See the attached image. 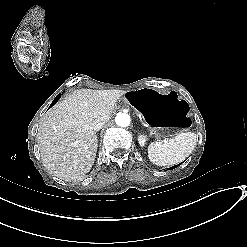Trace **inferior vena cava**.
<instances>
[{
	"label": "inferior vena cava",
	"instance_id": "1",
	"mask_svg": "<svg viewBox=\"0 0 247 247\" xmlns=\"http://www.w3.org/2000/svg\"><path fill=\"white\" fill-rule=\"evenodd\" d=\"M104 124H105V122H103V121L98 122L97 124H95L93 126V130L94 131H99L100 129H102Z\"/></svg>",
	"mask_w": 247,
	"mask_h": 247
}]
</instances>
